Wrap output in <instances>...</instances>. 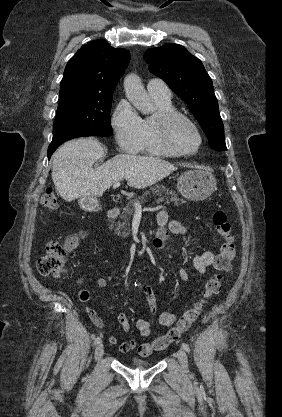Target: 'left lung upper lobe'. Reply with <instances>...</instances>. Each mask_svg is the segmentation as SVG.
I'll list each match as a JSON object with an SVG mask.
<instances>
[{"label":"left lung upper lobe","mask_w":282,"mask_h":417,"mask_svg":"<svg viewBox=\"0 0 282 417\" xmlns=\"http://www.w3.org/2000/svg\"><path fill=\"white\" fill-rule=\"evenodd\" d=\"M144 58L150 72L162 78L187 103L210 146L218 151L227 150L212 80L202 62L178 44L151 48Z\"/></svg>","instance_id":"1"}]
</instances>
